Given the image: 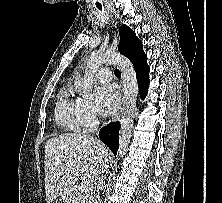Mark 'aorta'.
I'll return each instance as SVG.
<instances>
[{
	"mask_svg": "<svg viewBox=\"0 0 222 203\" xmlns=\"http://www.w3.org/2000/svg\"><path fill=\"white\" fill-rule=\"evenodd\" d=\"M104 64L116 65L121 71L123 79V111L118 149V157L122 158L126 154L130 143L134 108L138 94L137 77L132 63L123 55L115 52L92 53L86 65L84 78L82 81L75 83V89L86 98H91L95 73Z\"/></svg>",
	"mask_w": 222,
	"mask_h": 203,
	"instance_id": "aorta-1",
	"label": "aorta"
}]
</instances>
